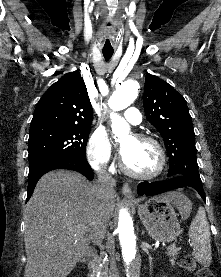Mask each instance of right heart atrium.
<instances>
[{
    "instance_id": "right-heart-atrium-1",
    "label": "right heart atrium",
    "mask_w": 221,
    "mask_h": 277,
    "mask_svg": "<svg viewBox=\"0 0 221 277\" xmlns=\"http://www.w3.org/2000/svg\"><path fill=\"white\" fill-rule=\"evenodd\" d=\"M87 158L97 171L110 172L113 168V146L106 132L95 130L87 144Z\"/></svg>"
}]
</instances>
